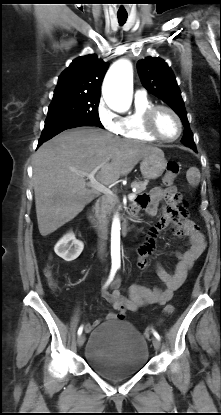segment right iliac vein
I'll return each mask as SVG.
<instances>
[{
	"mask_svg": "<svg viewBox=\"0 0 221 415\" xmlns=\"http://www.w3.org/2000/svg\"><path fill=\"white\" fill-rule=\"evenodd\" d=\"M84 342H85V336H84V334H80V335L78 336V339H77V344H78V346H79V347H82V346H83V344H84Z\"/></svg>",
	"mask_w": 221,
	"mask_h": 415,
	"instance_id": "right-iliac-vein-1",
	"label": "right iliac vein"
}]
</instances>
